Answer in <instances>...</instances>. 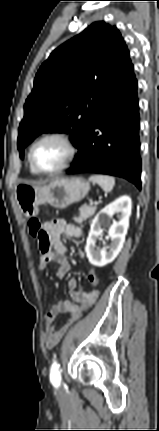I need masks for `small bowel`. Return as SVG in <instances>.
Instances as JSON below:
<instances>
[{
  "instance_id": "1",
  "label": "small bowel",
  "mask_w": 159,
  "mask_h": 431,
  "mask_svg": "<svg viewBox=\"0 0 159 431\" xmlns=\"http://www.w3.org/2000/svg\"><path fill=\"white\" fill-rule=\"evenodd\" d=\"M43 230L44 235L37 238L40 250L37 268L42 271L49 263H54L56 276L63 278L71 270V265L65 256L66 247L61 237L65 235L71 238H79L82 235V230L63 219H53L45 222ZM68 289L71 301H58L46 314L45 343L48 349H53L60 342L71 324L80 316L77 317L76 313L82 310L81 306H91L99 295V289L94 290L93 294H90L89 291H80L75 278L69 280ZM89 296H92V299H89ZM59 314H67L68 319L57 325L55 320Z\"/></svg>"
}]
</instances>
